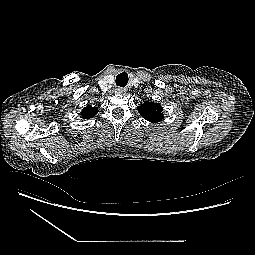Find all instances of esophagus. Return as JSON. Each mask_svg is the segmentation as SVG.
<instances>
[{"label": "esophagus", "instance_id": "1", "mask_svg": "<svg viewBox=\"0 0 255 255\" xmlns=\"http://www.w3.org/2000/svg\"><path fill=\"white\" fill-rule=\"evenodd\" d=\"M116 92H117V93H122V92H123V89L117 88V89H116Z\"/></svg>", "mask_w": 255, "mask_h": 255}]
</instances>
